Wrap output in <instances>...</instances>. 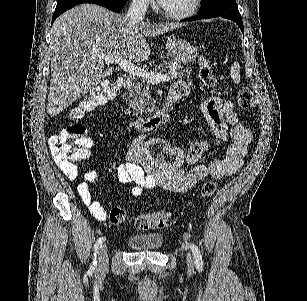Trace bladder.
Listing matches in <instances>:
<instances>
[{
	"label": "bladder",
	"instance_id": "31cf9c89",
	"mask_svg": "<svg viewBox=\"0 0 307 301\" xmlns=\"http://www.w3.org/2000/svg\"><path fill=\"white\" fill-rule=\"evenodd\" d=\"M162 243V235H131L127 241L132 251L159 250Z\"/></svg>",
	"mask_w": 307,
	"mask_h": 301
}]
</instances>
